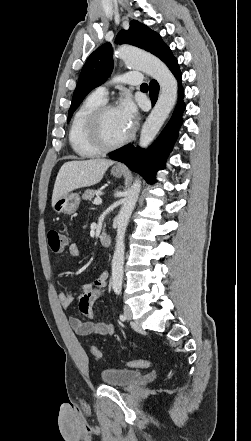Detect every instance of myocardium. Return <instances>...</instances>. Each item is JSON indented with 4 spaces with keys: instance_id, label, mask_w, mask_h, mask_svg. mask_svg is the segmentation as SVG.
<instances>
[{
    "instance_id": "obj_1",
    "label": "myocardium",
    "mask_w": 251,
    "mask_h": 441,
    "mask_svg": "<svg viewBox=\"0 0 251 441\" xmlns=\"http://www.w3.org/2000/svg\"><path fill=\"white\" fill-rule=\"evenodd\" d=\"M114 108H116L115 105L104 102L91 113L88 119L87 131L89 139L102 152L120 148L132 138V133L129 132L124 138L114 143H110L105 139L102 131V121L106 112Z\"/></svg>"
}]
</instances>
